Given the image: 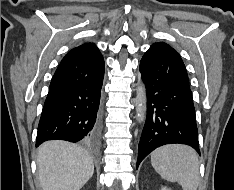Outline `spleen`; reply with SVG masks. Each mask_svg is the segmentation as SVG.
Listing matches in <instances>:
<instances>
[{
  "instance_id": "3e777b00",
  "label": "spleen",
  "mask_w": 234,
  "mask_h": 190,
  "mask_svg": "<svg viewBox=\"0 0 234 190\" xmlns=\"http://www.w3.org/2000/svg\"><path fill=\"white\" fill-rule=\"evenodd\" d=\"M155 171L169 182H178L183 190H197L200 180L199 161L187 145H165L151 153Z\"/></svg>"
}]
</instances>
